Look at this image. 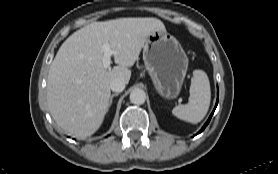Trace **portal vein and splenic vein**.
<instances>
[{
    "label": "portal vein and splenic vein",
    "instance_id": "18ae733b",
    "mask_svg": "<svg viewBox=\"0 0 278 174\" xmlns=\"http://www.w3.org/2000/svg\"><path fill=\"white\" fill-rule=\"evenodd\" d=\"M103 52H104V56H103V67L105 69H108L110 67L111 64V56L115 54V52L111 49L109 44H105L103 46Z\"/></svg>",
    "mask_w": 278,
    "mask_h": 174
}]
</instances>
